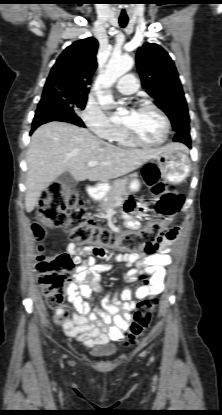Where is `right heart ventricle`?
<instances>
[{
	"instance_id": "right-heart-ventricle-1",
	"label": "right heart ventricle",
	"mask_w": 222,
	"mask_h": 415,
	"mask_svg": "<svg viewBox=\"0 0 222 415\" xmlns=\"http://www.w3.org/2000/svg\"><path fill=\"white\" fill-rule=\"evenodd\" d=\"M112 141L116 142L120 146L133 147L135 144L127 137L123 128H119L113 137Z\"/></svg>"
}]
</instances>
